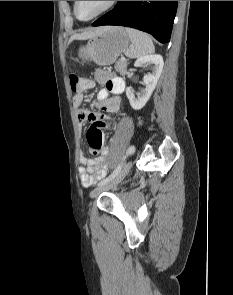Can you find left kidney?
<instances>
[{
  "label": "left kidney",
  "mask_w": 233,
  "mask_h": 295,
  "mask_svg": "<svg viewBox=\"0 0 233 295\" xmlns=\"http://www.w3.org/2000/svg\"><path fill=\"white\" fill-rule=\"evenodd\" d=\"M146 63L153 64L152 73H148L143 77V82L146 85V88L143 89L137 96L135 97V93L131 90L130 87L126 89V95L129 99L130 105L133 109L139 110L145 106L147 101L149 100L152 92L154 91L160 74L163 69V58L159 54H151L145 55L138 58L134 64L135 67H142Z\"/></svg>",
  "instance_id": "left-kidney-1"
}]
</instances>
